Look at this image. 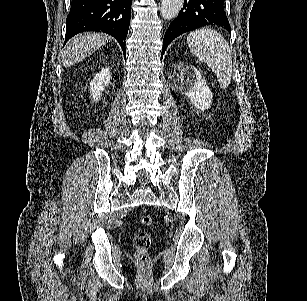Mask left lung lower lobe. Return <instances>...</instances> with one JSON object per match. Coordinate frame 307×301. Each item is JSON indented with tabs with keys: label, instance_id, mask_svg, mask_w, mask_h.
Instances as JSON below:
<instances>
[{
	"label": "left lung lower lobe",
	"instance_id": "left-lung-lower-lobe-1",
	"mask_svg": "<svg viewBox=\"0 0 307 301\" xmlns=\"http://www.w3.org/2000/svg\"><path fill=\"white\" fill-rule=\"evenodd\" d=\"M224 0H185L178 17L168 27L162 48V57L172 40L182 33L206 25H219L231 33L223 6Z\"/></svg>",
	"mask_w": 307,
	"mask_h": 301
}]
</instances>
